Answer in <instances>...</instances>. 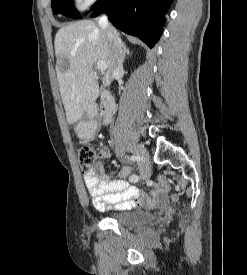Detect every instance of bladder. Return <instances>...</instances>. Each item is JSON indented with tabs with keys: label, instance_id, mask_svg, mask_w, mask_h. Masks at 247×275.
I'll list each match as a JSON object with an SVG mask.
<instances>
[{
	"label": "bladder",
	"instance_id": "bladder-1",
	"mask_svg": "<svg viewBox=\"0 0 247 275\" xmlns=\"http://www.w3.org/2000/svg\"><path fill=\"white\" fill-rule=\"evenodd\" d=\"M114 220L118 224L126 226L147 225L153 222L154 213L146 210H133L119 214Z\"/></svg>",
	"mask_w": 247,
	"mask_h": 275
}]
</instances>
